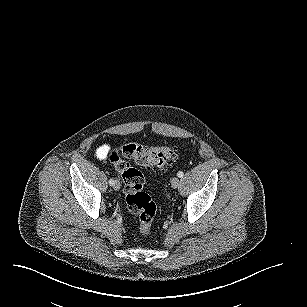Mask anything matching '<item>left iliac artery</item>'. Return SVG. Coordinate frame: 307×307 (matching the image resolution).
<instances>
[{
  "instance_id": "obj_1",
  "label": "left iliac artery",
  "mask_w": 307,
  "mask_h": 307,
  "mask_svg": "<svg viewBox=\"0 0 307 307\" xmlns=\"http://www.w3.org/2000/svg\"><path fill=\"white\" fill-rule=\"evenodd\" d=\"M177 176H178L179 178H182V177L184 176V173H183L182 171H179V172L177 173Z\"/></svg>"
}]
</instances>
